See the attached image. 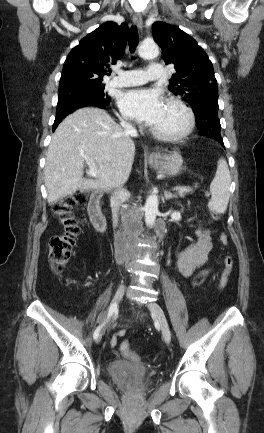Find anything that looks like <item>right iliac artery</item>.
<instances>
[{
    "label": "right iliac artery",
    "mask_w": 264,
    "mask_h": 433,
    "mask_svg": "<svg viewBox=\"0 0 264 433\" xmlns=\"http://www.w3.org/2000/svg\"><path fill=\"white\" fill-rule=\"evenodd\" d=\"M117 310V306L115 304H112L107 312L106 318L104 319V322H102L94 331L93 334V338L96 340L99 336V332L101 331V329L103 328V326L106 324V322H108V320L110 319V317L113 315V313Z\"/></svg>",
    "instance_id": "obj_1"
}]
</instances>
